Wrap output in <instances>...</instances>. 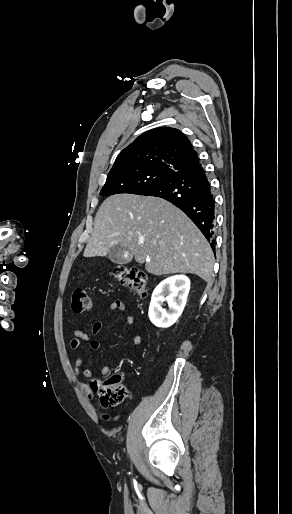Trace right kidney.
<instances>
[{
	"instance_id": "right-kidney-1",
	"label": "right kidney",
	"mask_w": 292,
	"mask_h": 514,
	"mask_svg": "<svg viewBox=\"0 0 292 514\" xmlns=\"http://www.w3.org/2000/svg\"><path fill=\"white\" fill-rule=\"evenodd\" d=\"M190 290V280L187 276H171L158 284L155 288L148 316L158 328H170L181 316ZM166 296V298H165ZM167 302L169 310L162 308Z\"/></svg>"
}]
</instances>
